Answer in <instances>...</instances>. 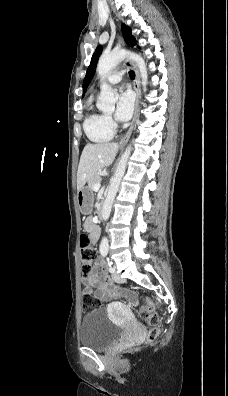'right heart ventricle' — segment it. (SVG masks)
Returning a JSON list of instances; mask_svg holds the SVG:
<instances>
[{"instance_id":"obj_1","label":"right heart ventricle","mask_w":228,"mask_h":396,"mask_svg":"<svg viewBox=\"0 0 228 396\" xmlns=\"http://www.w3.org/2000/svg\"><path fill=\"white\" fill-rule=\"evenodd\" d=\"M88 103L89 113L83 123L86 136L94 143L110 141L114 136V131L107 122V116L93 106L92 98Z\"/></svg>"}]
</instances>
